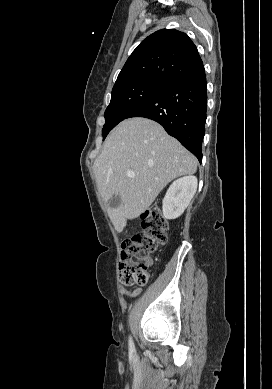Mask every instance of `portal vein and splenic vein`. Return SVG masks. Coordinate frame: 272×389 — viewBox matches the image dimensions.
Masks as SVG:
<instances>
[{
    "label": "portal vein and splenic vein",
    "instance_id": "obj_1",
    "mask_svg": "<svg viewBox=\"0 0 272 389\" xmlns=\"http://www.w3.org/2000/svg\"><path fill=\"white\" fill-rule=\"evenodd\" d=\"M127 176L130 177V178H133V177H135V174L132 171H128L127 172Z\"/></svg>",
    "mask_w": 272,
    "mask_h": 389
}]
</instances>
